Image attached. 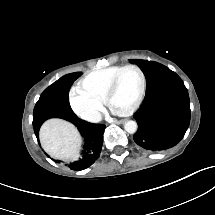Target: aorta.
<instances>
[{
  "mask_svg": "<svg viewBox=\"0 0 215 215\" xmlns=\"http://www.w3.org/2000/svg\"><path fill=\"white\" fill-rule=\"evenodd\" d=\"M136 128H137V124L133 120H128L124 123V129L128 133H134L136 131Z\"/></svg>",
  "mask_w": 215,
  "mask_h": 215,
  "instance_id": "762f6f07",
  "label": "aorta"
}]
</instances>
